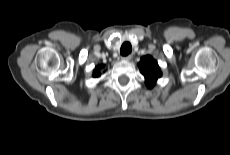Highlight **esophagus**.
I'll list each match as a JSON object with an SVG mask.
<instances>
[{"label": "esophagus", "mask_w": 230, "mask_h": 155, "mask_svg": "<svg viewBox=\"0 0 230 155\" xmlns=\"http://www.w3.org/2000/svg\"><path fill=\"white\" fill-rule=\"evenodd\" d=\"M131 58H132L131 55H127V56L122 57V60H124V61H130Z\"/></svg>", "instance_id": "obj_1"}]
</instances>
